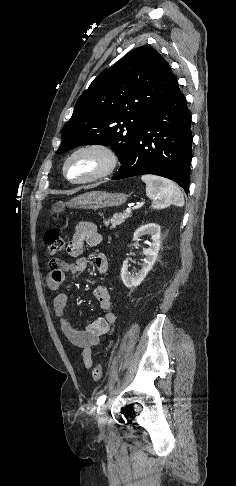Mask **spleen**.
Listing matches in <instances>:
<instances>
[{
	"mask_svg": "<svg viewBox=\"0 0 236 486\" xmlns=\"http://www.w3.org/2000/svg\"><path fill=\"white\" fill-rule=\"evenodd\" d=\"M141 179L146 184V194L152 200L153 209L184 205L183 193L172 181L154 175H143Z\"/></svg>",
	"mask_w": 236,
	"mask_h": 486,
	"instance_id": "1",
	"label": "spleen"
}]
</instances>
